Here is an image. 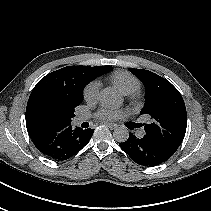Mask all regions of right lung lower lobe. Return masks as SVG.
Returning a JSON list of instances; mask_svg holds the SVG:
<instances>
[{"label": "right lung lower lobe", "mask_w": 211, "mask_h": 211, "mask_svg": "<svg viewBox=\"0 0 211 211\" xmlns=\"http://www.w3.org/2000/svg\"><path fill=\"white\" fill-rule=\"evenodd\" d=\"M93 129L72 128L71 124L44 128L32 136L35 147L46 157L63 161L78 153L91 139Z\"/></svg>", "instance_id": "obj_1"}]
</instances>
